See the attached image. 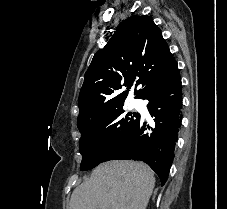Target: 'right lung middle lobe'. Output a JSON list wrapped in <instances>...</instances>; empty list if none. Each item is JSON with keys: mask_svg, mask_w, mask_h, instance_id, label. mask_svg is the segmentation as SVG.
I'll list each match as a JSON object with an SVG mask.
<instances>
[{"mask_svg": "<svg viewBox=\"0 0 227 209\" xmlns=\"http://www.w3.org/2000/svg\"><path fill=\"white\" fill-rule=\"evenodd\" d=\"M124 101L118 98L106 99L102 113L77 120L81 133L79 150L83 157L80 165L82 171L101 163L102 158L139 117L138 113H126L123 110Z\"/></svg>", "mask_w": 227, "mask_h": 209, "instance_id": "obj_1", "label": "right lung middle lobe"}]
</instances>
